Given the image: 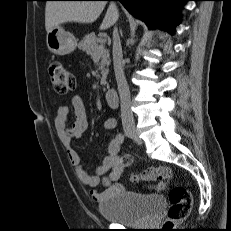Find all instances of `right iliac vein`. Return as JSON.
<instances>
[{
	"label": "right iliac vein",
	"instance_id": "right-iliac-vein-1",
	"mask_svg": "<svg viewBox=\"0 0 231 231\" xmlns=\"http://www.w3.org/2000/svg\"><path fill=\"white\" fill-rule=\"evenodd\" d=\"M125 133L129 138L133 139L138 144H142V142H141V140L137 134V131L135 129L127 128V129H125Z\"/></svg>",
	"mask_w": 231,
	"mask_h": 231
}]
</instances>
